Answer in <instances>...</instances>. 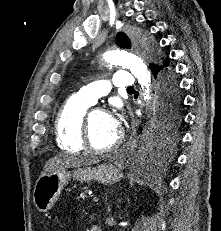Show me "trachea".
Masks as SVG:
<instances>
[{"label": "trachea", "mask_w": 221, "mask_h": 231, "mask_svg": "<svg viewBox=\"0 0 221 231\" xmlns=\"http://www.w3.org/2000/svg\"><path fill=\"white\" fill-rule=\"evenodd\" d=\"M127 90H134L133 87L127 88Z\"/></svg>", "instance_id": "trachea-1"}]
</instances>
